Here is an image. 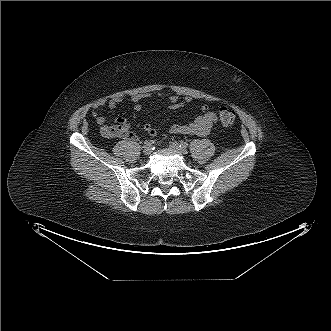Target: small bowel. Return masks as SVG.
I'll return each mask as SVG.
<instances>
[{"label":"small bowel","instance_id":"obj_1","mask_svg":"<svg viewBox=\"0 0 331 331\" xmlns=\"http://www.w3.org/2000/svg\"><path fill=\"white\" fill-rule=\"evenodd\" d=\"M152 93L141 92L135 93L131 96V101L135 104L134 110L136 112H141L143 106L141 101L144 99L151 98ZM159 98L168 103V107L171 109H181L184 108L187 104L191 103L193 99L190 96L180 98L175 94H162L159 95ZM123 99L119 96L110 98V99H100L95 104V109L100 107H108L109 109H114L118 104H120ZM202 114L197 116L193 122L188 124H173L168 130L167 134H185V135H195V136H205L208 134L216 123V115L211 111L210 106L207 104L201 105ZM93 117L95 118L96 124L100 126V131L105 137L109 138H124L129 141H137L138 136L131 131L130 125L127 123L125 118L118 117L114 124L108 125L105 123V118L101 115H98L97 112L93 111ZM144 130L150 136H156L157 130L150 124L146 123L144 125ZM166 138V135H163L161 141Z\"/></svg>","mask_w":331,"mask_h":331}]
</instances>
